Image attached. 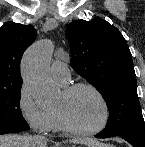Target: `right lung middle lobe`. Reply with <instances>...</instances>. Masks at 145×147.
<instances>
[{
  "instance_id": "dd1d6c3e",
  "label": "right lung middle lobe",
  "mask_w": 145,
  "mask_h": 147,
  "mask_svg": "<svg viewBox=\"0 0 145 147\" xmlns=\"http://www.w3.org/2000/svg\"><path fill=\"white\" fill-rule=\"evenodd\" d=\"M21 86L0 88V134L29 129L20 110Z\"/></svg>"
}]
</instances>
